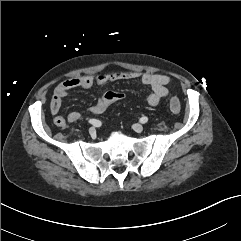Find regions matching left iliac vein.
<instances>
[{
	"mask_svg": "<svg viewBox=\"0 0 241 241\" xmlns=\"http://www.w3.org/2000/svg\"><path fill=\"white\" fill-rule=\"evenodd\" d=\"M133 129L134 131H136L137 133H141L143 131V126L141 124H134L133 125Z\"/></svg>",
	"mask_w": 241,
	"mask_h": 241,
	"instance_id": "obj_1",
	"label": "left iliac vein"
}]
</instances>
